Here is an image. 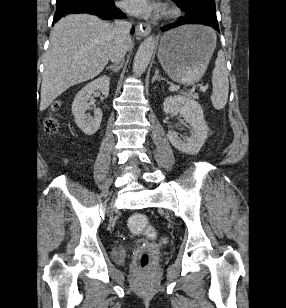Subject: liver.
<instances>
[{
	"label": "liver",
	"instance_id": "obj_1",
	"mask_svg": "<svg viewBox=\"0 0 286 308\" xmlns=\"http://www.w3.org/2000/svg\"><path fill=\"white\" fill-rule=\"evenodd\" d=\"M116 40L115 27L96 16L73 14L60 19L50 33L41 84L44 111L71 86L93 79L107 65ZM132 41H127V50Z\"/></svg>",
	"mask_w": 286,
	"mask_h": 308
}]
</instances>
